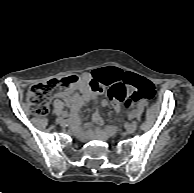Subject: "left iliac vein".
Masks as SVG:
<instances>
[{
  "label": "left iliac vein",
  "mask_w": 194,
  "mask_h": 193,
  "mask_svg": "<svg viewBox=\"0 0 194 193\" xmlns=\"http://www.w3.org/2000/svg\"><path fill=\"white\" fill-rule=\"evenodd\" d=\"M131 113H133L134 116L132 118H134L136 116L135 112L133 111ZM137 126H138L137 121H133L131 124L126 126V132L128 134L134 133L136 131V129H137Z\"/></svg>",
  "instance_id": "left-iliac-vein-1"
}]
</instances>
